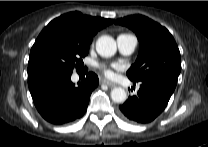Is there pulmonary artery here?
<instances>
[{
    "label": "pulmonary artery",
    "instance_id": "obj_1",
    "mask_svg": "<svg viewBox=\"0 0 208 147\" xmlns=\"http://www.w3.org/2000/svg\"><path fill=\"white\" fill-rule=\"evenodd\" d=\"M119 51L124 55H131L137 46V38L132 34H121L117 37Z\"/></svg>",
    "mask_w": 208,
    "mask_h": 147
}]
</instances>
